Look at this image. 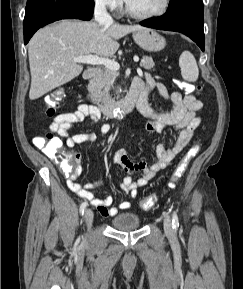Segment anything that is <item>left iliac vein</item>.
I'll return each mask as SVG.
<instances>
[{"label": "left iliac vein", "instance_id": "4c4485c4", "mask_svg": "<svg viewBox=\"0 0 243 289\" xmlns=\"http://www.w3.org/2000/svg\"><path fill=\"white\" fill-rule=\"evenodd\" d=\"M164 231L168 235L173 233V227H172L171 219H170V216L167 214L164 217Z\"/></svg>", "mask_w": 243, "mask_h": 289}]
</instances>
